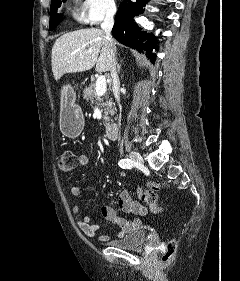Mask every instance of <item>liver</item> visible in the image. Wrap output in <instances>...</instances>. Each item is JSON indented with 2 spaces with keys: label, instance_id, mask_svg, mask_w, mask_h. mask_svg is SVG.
<instances>
[{
  "label": "liver",
  "instance_id": "6515ba94",
  "mask_svg": "<svg viewBox=\"0 0 240 281\" xmlns=\"http://www.w3.org/2000/svg\"><path fill=\"white\" fill-rule=\"evenodd\" d=\"M110 49L104 31L98 28L65 33L52 47L51 66L55 80L66 73L90 70L95 65L97 72L110 71Z\"/></svg>",
  "mask_w": 240,
  "mask_h": 281
}]
</instances>
